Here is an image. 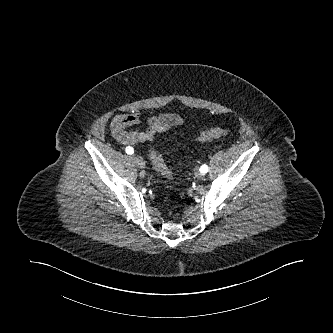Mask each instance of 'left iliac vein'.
Listing matches in <instances>:
<instances>
[{"label": "left iliac vein", "instance_id": "1", "mask_svg": "<svg viewBox=\"0 0 333 333\" xmlns=\"http://www.w3.org/2000/svg\"><path fill=\"white\" fill-rule=\"evenodd\" d=\"M195 175L198 179H203L204 178V174L202 172H200L199 170L196 171Z\"/></svg>", "mask_w": 333, "mask_h": 333}]
</instances>
